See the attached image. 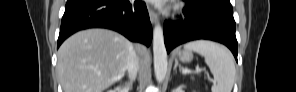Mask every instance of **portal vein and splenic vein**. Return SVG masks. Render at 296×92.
Returning a JSON list of instances; mask_svg holds the SVG:
<instances>
[{
    "label": "portal vein and splenic vein",
    "mask_w": 296,
    "mask_h": 92,
    "mask_svg": "<svg viewBox=\"0 0 296 92\" xmlns=\"http://www.w3.org/2000/svg\"><path fill=\"white\" fill-rule=\"evenodd\" d=\"M199 72H201V69L200 68H196L195 73H199ZM183 73L184 74H187V73H192V72L190 70H184Z\"/></svg>",
    "instance_id": "1"
}]
</instances>
